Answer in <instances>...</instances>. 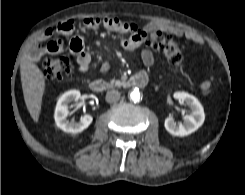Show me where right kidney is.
I'll return each instance as SVG.
<instances>
[{"instance_id":"ca27d5eb","label":"right kidney","mask_w":245,"mask_h":195,"mask_svg":"<svg viewBox=\"0 0 245 195\" xmlns=\"http://www.w3.org/2000/svg\"><path fill=\"white\" fill-rule=\"evenodd\" d=\"M81 97L80 91L69 90L62 94L56 104L54 118L56 125L64 132L80 133L92 123L93 117L89 114L83 115L79 122L69 121L68 105L73 101H78Z\"/></svg>"}]
</instances>
